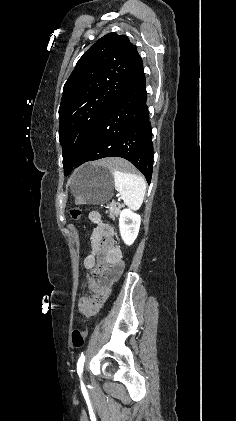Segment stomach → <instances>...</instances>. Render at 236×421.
Returning <instances> with one entry per match:
<instances>
[{"instance_id":"stomach-1","label":"stomach","mask_w":236,"mask_h":421,"mask_svg":"<svg viewBox=\"0 0 236 421\" xmlns=\"http://www.w3.org/2000/svg\"><path fill=\"white\" fill-rule=\"evenodd\" d=\"M114 182L111 168L88 162L76 168L72 192L79 204H105L113 196Z\"/></svg>"}]
</instances>
